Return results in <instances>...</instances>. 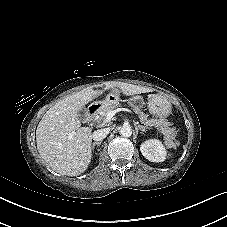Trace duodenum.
Wrapping results in <instances>:
<instances>
[{"instance_id": "obj_1", "label": "duodenum", "mask_w": 227, "mask_h": 227, "mask_svg": "<svg viewBox=\"0 0 227 227\" xmlns=\"http://www.w3.org/2000/svg\"><path fill=\"white\" fill-rule=\"evenodd\" d=\"M97 112H98V107L96 105L89 106L85 114V117L83 118V123L85 124L90 123L97 115Z\"/></svg>"}]
</instances>
